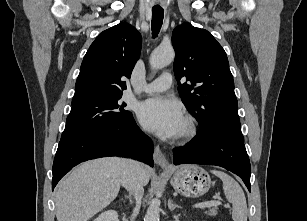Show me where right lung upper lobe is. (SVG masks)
Wrapping results in <instances>:
<instances>
[{
  "label": "right lung upper lobe",
  "mask_w": 307,
  "mask_h": 221,
  "mask_svg": "<svg viewBox=\"0 0 307 221\" xmlns=\"http://www.w3.org/2000/svg\"><path fill=\"white\" fill-rule=\"evenodd\" d=\"M141 35L120 23L100 33L81 64L72 103L122 95L141 51Z\"/></svg>",
  "instance_id": "right-lung-upper-lobe-1"
}]
</instances>
